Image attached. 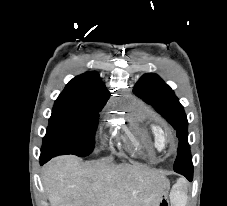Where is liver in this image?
<instances>
[{"instance_id": "1", "label": "liver", "mask_w": 227, "mask_h": 206, "mask_svg": "<svg viewBox=\"0 0 227 206\" xmlns=\"http://www.w3.org/2000/svg\"><path fill=\"white\" fill-rule=\"evenodd\" d=\"M51 206H159L169 190L160 172L128 164L84 168L74 156H60L43 168Z\"/></svg>"}]
</instances>
